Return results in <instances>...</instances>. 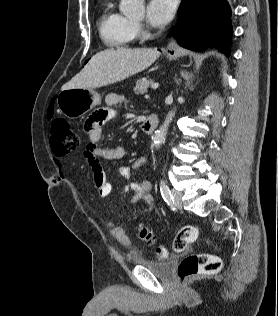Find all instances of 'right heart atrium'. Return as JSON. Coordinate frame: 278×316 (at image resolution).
<instances>
[{
	"label": "right heart atrium",
	"instance_id": "obj_1",
	"mask_svg": "<svg viewBox=\"0 0 278 316\" xmlns=\"http://www.w3.org/2000/svg\"><path fill=\"white\" fill-rule=\"evenodd\" d=\"M132 31H133L134 36L138 35L141 31L140 23L132 21Z\"/></svg>",
	"mask_w": 278,
	"mask_h": 316
}]
</instances>
